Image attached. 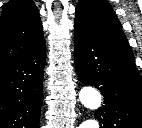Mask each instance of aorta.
<instances>
[{
    "instance_id": "762f6f07",
    "label": "aorta",
    "mask_w": 142,
    "mask_h": 128,
    "mask_svg": "<svg viewBox=\"0 0 142 128\" xmlns=\"http://www.w3.org/2000/svg\"><path fill=\"white\" fill-rule=\"evenodd\" d=\"M80 102L90 110H97L101 107L102 99L100 93L93 87H84L79 92ZM79 128H99V123L95 119L84 121Z\"/></svg>"
}]
</instances>
